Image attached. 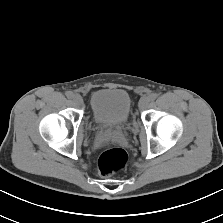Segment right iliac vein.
I'll return each mask as SVG.
<instances>
[{
	"label": "right iliac vein",
	"instance_id": "63e3f726",
	"mask_svg": "<svg viewBox=\"0 0 223 223\" xmlns=\"http://www.w3.org/2000/svg\"><path fill=\"white\" fill-rule=\"evenodd\" d=\"M72 99H73V102L77 105H81L83 103V99L79 94L73 95Z\"/></svg>",
	"mask_w": 223,
	"mask_h": 223
}]
</instances>
